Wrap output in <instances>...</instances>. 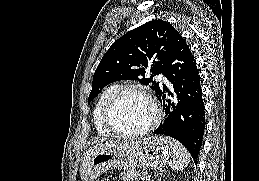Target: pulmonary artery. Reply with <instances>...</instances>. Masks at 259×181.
<instances>
[{"label": "pulmonary artery", "mask_w": 259, "mask_h": 181, "mask_svg": "<svg viewBox=\"0 0 259 181\" xmlns=\"http://www.w3.org/2000/svg\"><path fill=\"white\" fill-rule=\"evenodd\" d=\"M158 80L162 81V82H167L166 78L162 75V74H159L157 76Z\"/></svg>", "instance_id": "pulmonary-artery-1"}]
</instances>
